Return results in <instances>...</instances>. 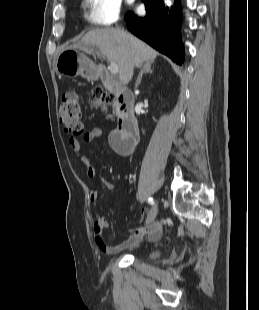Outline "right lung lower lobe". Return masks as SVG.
Masks as SVG:
<instances>
[{
    "instance_id": "98d812e1",
    "label": "right lung lower lobe",
    "mask_w": 259,
    "mask_h": 310,
    "mask_svg": "<svg viewBox=\"0 0 259 310\" xmlns=\"http://www.w3.org/2000/svg\"><path fill=\"white\" fill-rule=\"evenodd\" d=\"M142 2L145 4L146 16L138 17L132 12H127L125 15L127 28L176 64L181 65L184 62V49L179 33L182 19L179 1H175L169 16L162 20L160 15L168 12L164 8L163 0H142Z\"/></svg>"
}]
</instances>
